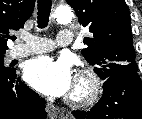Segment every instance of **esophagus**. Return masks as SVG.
<instances>
[{"instance_id": "obj_1", "label": "esophagus", "mask_w": 142, "mask_h": 119, "mask_svg": "<svg viewBox=\"0 0 142 119\" xmlns=\"http://www.w3.org/2000/svg\"><path fill=\"white\" fill-rule=\"evenodd\" d=\"M46 111L48 113V116L51 118V119H56L58 117V113L59 111L57 110V108L50 102L47 103V106H46Z\"/></svg>"}]
</instances>
